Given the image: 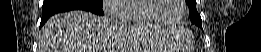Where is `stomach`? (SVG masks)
I'll use <instances>...</instances> for the list:
<instances>
[{"label": "stomach", "mask_w": 261, "mask_h": 52, "mask_svg": "<svg viewBox=\"0 0 261 52\" xmlns=\"http://www.w3.org/2000/svg\"><path fill=\"white\" fill-rule=\"evenodd\" d=\"M145 29H150V27H145Z\"/></svg>", "instance_id": "0dacf381"}]
</instances>
